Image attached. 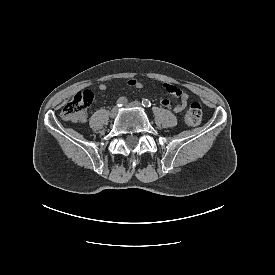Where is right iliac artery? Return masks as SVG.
<instances>
[{"mask_svg": "<svg viewBox=\"0 0 275 275\" xmlns=\"http://www.w3.org/2000/svg\"><path fill=\"white\" fill-rule=\"evenodd\" d=\"M127 103V99L125 97H120L117 102L116 105L118 107H122L123 105H125Z\"/></svg>", "mask_w": 275, "mask_h": 275, "instance_id": "1", "label": "right iliac artery"}]
</instances>
